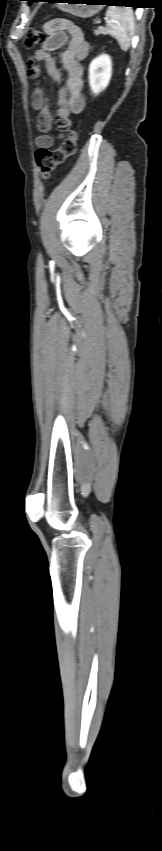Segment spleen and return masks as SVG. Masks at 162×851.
<instances>
[{
	"label": "spleen",
	"mask_w": 162,
	"mask_h": 851,
	"mask_svg": "<svg viewBox=\"0 0 162 851\" xmlns=\"http://www.w3.org/2000/svg\"><path fill=\"white\" fill-rule=\"evenodd\" d=\"M109 18L106 31L119 43L123 51L130 47L134 32V16L131 8L111 6L106 11Z\"/></svg>",
	"instance_id": "1"
}]
</instances>
